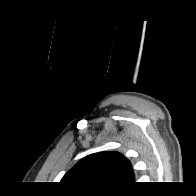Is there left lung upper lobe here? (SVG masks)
I'll list each match as a JSON object with an SVG mask.
<instances>
[{"instance_id": "1", "label": "left lung upper lobe", "mask_w": 196, "mask_h": 196, "mask_svg": "<svg viewBox=\"0 0 196 196\" xmlns=\"http://www.w3.org/2000/svg\"><path fill=\"white\" fill-rule=\"evenodd\" d=\"M69 188L86 192L112 191L134 183L130 162L118 152L91 154L62 178Z\"/></svg>"}]
</instances>
